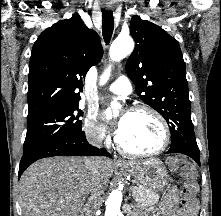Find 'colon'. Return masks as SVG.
Here are the masks:
<instances>
[{"instance_id":"5ec220e1","label":"colon","mask_w":221,"mask_h":216,"mask_svg":"<svg viewBox=\"0 0 221 216\" xmlns=\"http://www.w3.org/2000/svg\"><path fill=\"white\" fill-rule=\"evenodd\" d=\"M169 165L172 171L181 172L183 174H191V169L187 166L186 160L181 157L172 158L169 161ZM182 204L183 208L187 211H193L195 209V197L192 192V188L189 185L182 187Z\"/></svg>"}]
</instances>
